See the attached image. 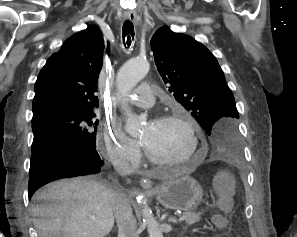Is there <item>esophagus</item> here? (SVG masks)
<instances>
[{"label":"esophagus","mask_w":297,"mask_h":237,"mask_svg":"<svg viewBox=\"0 0 297 237\" xmlns=\"http://www.w3.org/2000/svg\"><path fill=\"white\" fill-rule=\"evenodd\" d=\"M125 18H127L131 22H134L135 21V18H136V14L135 13L125 14ZM140 185L145 190H151L152 189V186H153V183H152V181H151L150 178H142L140 180Z\"/></svg>","instance_id":"esophagus-1"}]
</instances>
